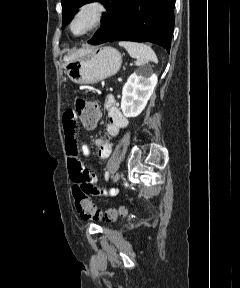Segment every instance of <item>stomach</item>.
<instances>
[{"label":"stomach","mask_w":240,"mask_h":288,"mask_svg":"<svg viewBox=\"0 0 240 288\" xmlns=\"http://www.w3.org/2000/svg\"><path fill=\"white\" fill-rule=\"evenodd\" d=\"M122 57L112 47L87 49L83 54L64 63L65 74L75 83H97L115 75L121 67Z\"/></svg>","instance_id":"stomach-1"}]
</instances>
